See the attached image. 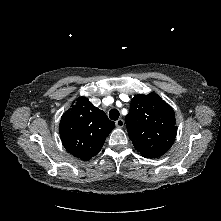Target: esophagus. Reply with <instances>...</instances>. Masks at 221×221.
Here are the masks:
<instances>
[{"instance_id": "obj_1", "label": "esophagus", "mask_w": 221, "mask_h": 221, "mask_svg": "<svg viewBox=\"0 0 221 221\" xmlns=\"http://www.w3.org/2000/svg\"><path fill=\"white\" fill-rule=\"evenodd\" d=\"M115 124L117 127L122 128L124 126V120L118 119Z\"/></svg>"}]
</instances>
